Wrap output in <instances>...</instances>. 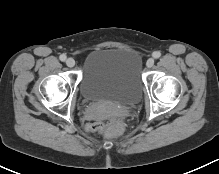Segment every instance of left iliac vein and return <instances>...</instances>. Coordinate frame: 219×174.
I'll use <instances>...</instances> for the list:
<instances>
[{"instance_id":"1","label":"left iliac vein","mask_w":219,"mask_h":174,"mask_svg":"<svg viewBox=\"0 0 219 174\" xmlns=\"http://www.w3.org/2000/svg\"><path fill=\"white\" fill-rule=\"evenodd\" d=\"M153 65H154V59H153V58H149V59L146 61V66H147L148 68H151Z\"/></svg>"}]
</instances>
